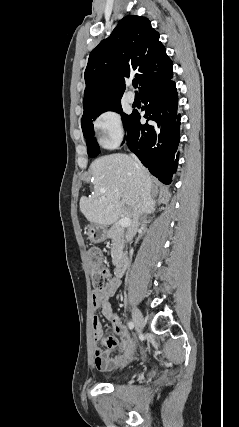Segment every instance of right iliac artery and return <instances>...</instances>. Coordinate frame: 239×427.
I'll return each instance as SVG.
<instances>
[{
  "mask_svg": "<svg viewBox=\"0 0 239 427\" xmlns=\"http://www.w3.org/2000/svg\"><path fill=\"white\" fill-rule=\"evenodd\" d=\"M128 327H129L130 329H133V328H134V323H133L132 321H130V322L128 323Z\"/></svg>",
  "mask_w": 239,
  "mask_h": 427,
  "instance_id": "1",
  "label": "right iliac artery"
}]
</instances>
